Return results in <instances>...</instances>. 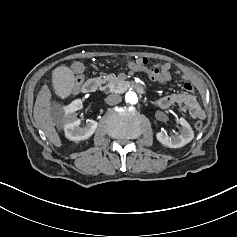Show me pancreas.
<instances>
[{
	"instance_id": "cf45deb5",
	"label": "pancreas",
	"mask_w": 237,
	"mask_h": 237,
	"mask_svg": "<svg viewBox=\"0 0 237 237\" xmlns=\"http://www.w3.org/2000/svg\"><path fill=\"white\" fill-rule=\"evenodd\" d=\"M104 82H107L108 84L104 87V90L107 91H114L116 89V86L119 84L120 80L115 76V74H109L106 75L103 78Z\"/></svg>"
}]
</instances>
